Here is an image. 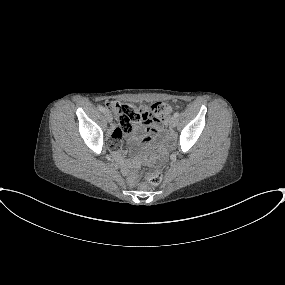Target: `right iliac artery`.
<instances>
[{
	"mask_svg": "<svg viewBox=\"0 0 285 285\" xmlns=\"http://www.w3.org/2000/svg\"><path fill=\"white\" fill-rule=\"evenodd\" d=\"M99 110H100L101 112H103V113L106 111L103 106H99Z\"/></svg>",
	"mask_w": 285,
	"mask_h": 285,
	"instance_id": "obj_1",
	"label": "right iliac artery"
}]
</instances>
